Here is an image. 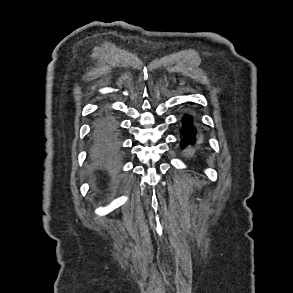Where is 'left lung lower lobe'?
<instances>
[{
  "mask_svg": "<svg viewBox=\"0 0 293 293\" xmlns=\"http://www.w3.org/2000/svg\"><path fill=\"white\" fill-rule=\"evenodd\" d=\"M183 127L181 129L180 134L183 135V140L181 141L180 145L182 148L186 147L189 144H194L197 139V129L193 124V119L189 115H185L183 117Z\"/></svg>",
  "mask_w": 293,
  "mask_h": 293,
  "instance_id": "obj_1",
  "label": "left lung lower lobe"
}]
</instances>
